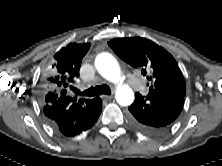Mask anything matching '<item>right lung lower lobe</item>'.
<instances>
[{"instance_id":"98d812e1","label":"right lung lower lobe","mask_w":222,"mask_h":166,"mask_svg":"<svg viewBox=\"0 0 222 166\" xmlns=\"http://www.w3.org/2000/svg\"><path fill=\"white\" fill-rule=\"evenodd\" d=\"M43 106L47 122L54 130L65 136H74L95 124L102 110V100L96 97L81 104L72 97L48 92Z\"/></svg>"}]
</instances>
